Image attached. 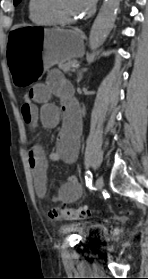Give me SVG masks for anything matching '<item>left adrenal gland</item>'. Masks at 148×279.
<instances>
[{
  "instance_id": "a2214340",
  "label": "left adrenal gland",
  "mask_w": 148,
  "mask_h": 279,
  "mask_svg": "<svg viewBox=\"0 0 148 279\" xmlns=\"http://www.w3.org/2000/svg\"><path fill=\"white\" fill-rule=\"evenodd\" d=\"M81 80H82V75L79 74V77H78L77 81L80 82Z\"/></svg>"
}]
</instances>
